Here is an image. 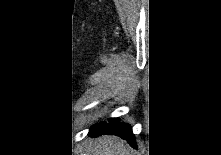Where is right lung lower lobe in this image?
I'll return each instance as SVG.
<instances>
[{
  "label": "right lung lower lobe",
  "mask_w": 221,
  "mask_h": 155,
  "mask_svg": "<svg viewBox=\"0 0 221 155\" xmlns=\"http://www.w3.org/2000/svg\"><path fill=\"white\" fill-rule=\"evenodd\" d=\"M102 134L120 136L122 139L127 140L131 146L137 147L135 143V137L132 133L130 125L127 123H120L119 119L110 118L109 122H101L91 127L89 135L99 136Z\"/></svg>",
  "instance_id": "98d812e1"
}]
</instances>
